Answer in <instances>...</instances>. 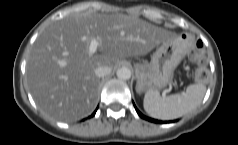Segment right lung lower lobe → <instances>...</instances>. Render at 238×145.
Segmentation results:
<instances>
[{"instance_id": "right-lung-lower-lobe-1", "label": "right lung lower lobe", "mask_w": 238, "mask_h": 145, "mask_svg": "<svg viewBox=\"0 0 238 145\" xmlns=\"http://www.w3.org/2000/svg\"><path fill=\"white\" fill-rule=\"evenodd\" d=\"M95 113H96V111L92 114V116H94L95 115Z\"/></svg>"}]
</instances>
